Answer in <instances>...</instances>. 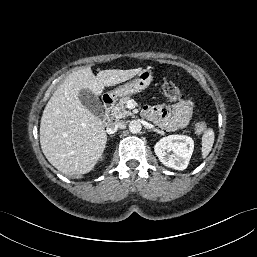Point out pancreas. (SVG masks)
<instances>
[{"instance_id":"pancreas-1","label":"pancreas","mask_w":257,"mask_h":257,"mask_svg":"<svg viewBox=\"0 0 257 257\" xmlns=\"http://www.w3.org/2000/svg\"><path fill=\"white\" fill-rule=\"evenodd\" d=\"M130 97H123L119 102L112 108L111 116L115 119H122L128 116H132L131 111L127 110L126 104L128 103Z\"/></svg>"}]
</instances>
